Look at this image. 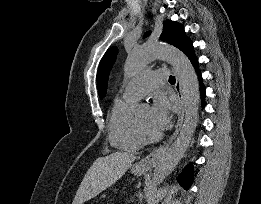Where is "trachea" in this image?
<instances>
[{
	"label": "trachea",
	"mask_w": 261,
	"mask_h": 204,
	"mask_svg": "<svg viewBox=\"0 0 261 204\" xmlns=\"http://www.w3.org/2000/svg\"><path fill=\"white\" fill-rule=\"evenodd\" d=\"M169 82H175V77L171 75V76L169 77Z\"/></svg>",
	"instance_id": "trachea-1"
}]
</instances>
